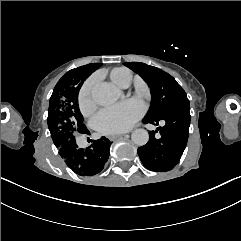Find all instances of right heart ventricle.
I'll return each instance as SVG.
<instances>
[{"label": "right heart ventricle", "instance_id": "1", "mask_svg": "<svg viewBox=\"0 0 241 241\" xmlns=\"http://www.w3.org/2000/svg\"><path fill=\"white\" fill-rule=\"evenodd\" d=\"M110 77L115 84L121 87H128L132 79V74L127 68L118 67L111 71Z\"/></svg>", "mask_w": 241, "mask_h": 241}]
</instances>
